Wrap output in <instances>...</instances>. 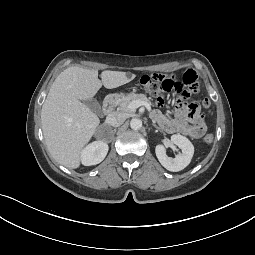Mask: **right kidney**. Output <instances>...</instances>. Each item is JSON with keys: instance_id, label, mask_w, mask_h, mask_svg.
Returning a JSON list of instances; mask_svg holds the SVG:
<instances>
[{"instance_id": "obj_1", "label": "right kidney", "mask_w": 255, "mask_h": 255, "mask_svg": "<svg viewBox=\"0 0 255 255\" xmlns=\"http://www.w3.org/2000/svg\"><path fill=\"white\" fill-rule=\"evenodd\" d=\"M108 153V144L101 140L87 145L81 152V162L85 166L99 164Z\"/></svg>"}]
</instances>
